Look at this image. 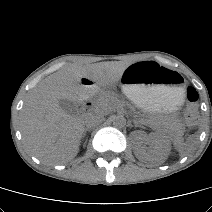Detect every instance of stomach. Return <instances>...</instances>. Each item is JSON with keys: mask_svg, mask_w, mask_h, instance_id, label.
Here are the masks:
<instances>
[{"mask_svg": "<svg viewBox=\"0 0 212 212\" xmlns=\"http://www.w3.org/2000/svg\"><path fill=\"white\" fill-rule=\"evenodd\" d=\"M120 81L123 93L144 112L175 110L183 104L184 88L177 73L154 61L129 65Z\"/></svg>", "mask_w": 212, "mask_h": 212, "instance_id": "stomach-1", "label": "stomach"}]
</instances>
